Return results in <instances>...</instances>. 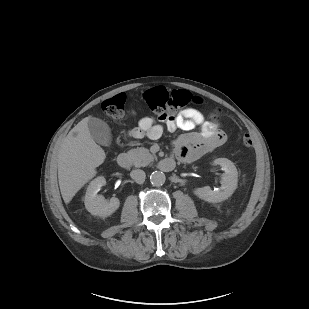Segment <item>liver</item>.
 Returning <instances> with one entry per match:
<instances>
[{"instance_id": "1", "label": "liver", "mask_w": 309, "mask_h": 309, "mask_svg": "<svg viewBox=\"0 0 309 309\" xmlns=\"http://www.w3.org/2000/svg\"><path fill=\"white\" fill-rule=\"evenodd\" d=\"M89 119L84 118L68 133L58 153V181L66 204L96 175V168L106 158L91 136Z\"/></svg>"}]
</instances>
